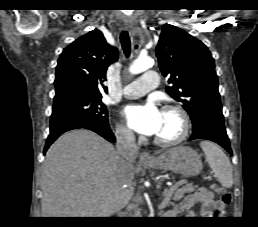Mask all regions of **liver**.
<instances>
[{"mask_svg": "<svg viewBox=\"0 0 258 227\" xmlns=\"http://www.w3.org/2000/svg\"><path fill=\"white\" fill-rule=\"evenodd\" d=\"M134 167L123 168L112 144L78 129L60 136L42 167V217H109L134 193Z\"/></svg>", "mask_w": 258, "mask_h": 227, "instance_id": "obj_1", "label": "liver"}]
</instances>
